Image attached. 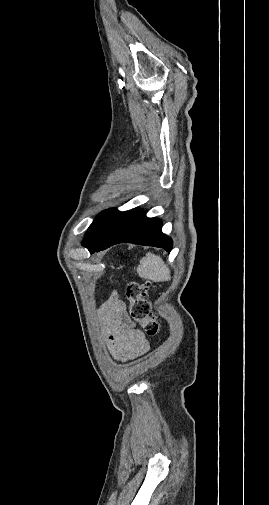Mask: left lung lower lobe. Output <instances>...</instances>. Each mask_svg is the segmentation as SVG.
Listing matches in <instances>:
<instances>
[{"label": "left lung lower lobe", "instance_id": "obj_1", "mask_svg": "<svg viewBox=\"0 0 269 505\" xmlns=\"http://www.w3.org/2000/svg\"><path fill=\"white\" fill-rule=\"evenodd\" d=\"M160 219L147 218L140 211L121 212L106 235L96 244L87 246L91 252L106 249L118 243H133L164 248L170 252L172 239L161 231Z\"/></svg>", "mask_w": 269, "mask_h": 505}]
</instances>
